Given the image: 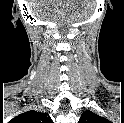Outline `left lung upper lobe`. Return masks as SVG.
<instances>
[{
  "label": "left lung upper lobe",
  "mask_w": 124,
  "mask_h": 123,
  "mask_svg": "<svg viewBox=\"0 0 124 123\" xmlns=\"http://www.w3.org/2000/svg\"><path fill=\"white\" fill-rule=\"evenodd\" d=\"M106 119L91 112L85 111L80 117L79 123H106Z\"/></svg>",
  "instance_id": "obj_1"
}]
</instances>
